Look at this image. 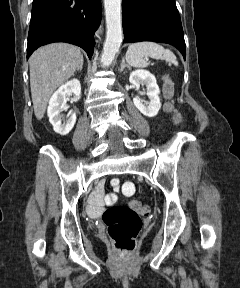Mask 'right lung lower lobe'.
Here are the masks:
<instances>
[{
    "label": "right lung lower lobe",
    "instance_id": "1",
    "mask_svg": "<svg viewBox=\"0 0 240 288\" xmlns=\"http://www.w3.org/2000/svg\"><path fill=\"white\" fill-rule=\"evenodd\" d=\"M100 22V0H33L27 58L38 47L53 42L80 46L91 58Z\"/></svg>",
    "mask_w": 240,
    "mask_h": 288
}]
</instances>
